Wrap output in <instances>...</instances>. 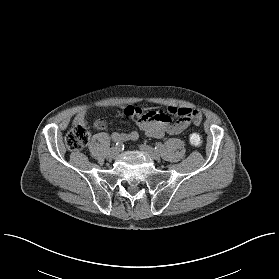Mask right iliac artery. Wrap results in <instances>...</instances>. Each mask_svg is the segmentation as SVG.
I'll use <instances>...</instances> for the list:
<instances>
[{
    "instance_id": "obj_1",
    "label": "right iliac artery",
    "mask_w": 279,
    "mask_h": 279,
    "mask_svg": "<svg viewBox=\"0 0 279 279\" xmlns=\"http://www.w3.org/2000/svg\"><path fill=\"white\" fill-rule=\"evenodd\" d=\"M114 144H115V146H116L118 149H121V147H122V143H121V142H119V141H117V140H114Z\"/></svg>"
}]
</instances>
